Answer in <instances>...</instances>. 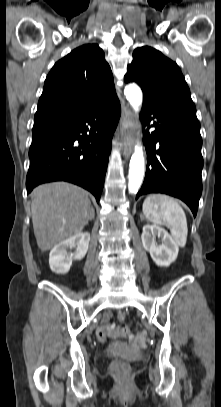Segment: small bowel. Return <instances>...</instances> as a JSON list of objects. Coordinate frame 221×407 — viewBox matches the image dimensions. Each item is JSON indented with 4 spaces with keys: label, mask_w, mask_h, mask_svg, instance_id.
Wrapping results in <instances>:
<instances>
[{
    "label": "small bowel",
    "mask_w": 221,
    "mask_h": 407,
    "mask_svg": "<svg viewBox=\"0 0 221 407\" xmlns=\"http://www.w3.org/2000/svg\"><path fill=\"white\" fill-rule=\"evenodd\" d=\"M109 317H110L109 314H106V315H105V319H108Z\"/></svg>",
    "instance_id": "small-bowel-1"
}]
</instances>
